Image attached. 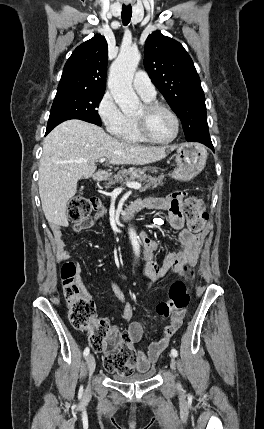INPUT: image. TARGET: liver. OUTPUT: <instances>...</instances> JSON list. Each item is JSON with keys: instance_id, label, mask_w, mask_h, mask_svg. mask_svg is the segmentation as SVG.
Returning a JSON list of instances; mask_svg holds the SVG:
<instances>
[{"instance_id": "1", "label": "liver", "mask_w": 264, "mask_h": 429, "mask_svg": "<svg viewBox=\"0 0 264 429\" xmlns=\"http://www.w3.org/2000/svg\"><path fill=\"white\" fill-rule=\"evenodd\" d=\"M176 146L145 147L119 141L94 124L68 120L45 138L39 166V194L49 224L68 226L66 205L77 192V183L90 178L96 161L107 157L109 164L143 165L159 161Z\"/></svg>"}]
</instances>
